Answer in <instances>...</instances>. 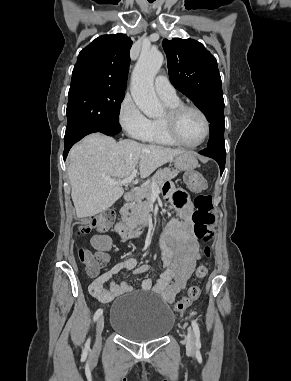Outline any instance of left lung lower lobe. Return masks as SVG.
Returning <instances> with one entry per match:
<instances>
[{
  "label": "left lung lower lobe",
  "instance_id": "left-lung-lower-lobe-1",
  "mask_svg": "<svg viewBox=\"0 0 291 381\" xmlns=\"http://www.w3.org/2000/svg\"><path fill=\"white\" fill-rule=\"evenodd\" d=\"M202 155L208 156L213 158L217 161V163L220 166V173L222 175L224 168H225V160H226V151L225 147H219V148H206L199 152Z\"/></svg>",
  "mask_w": 291,
  "mask_h": 381
}]
</instances>
